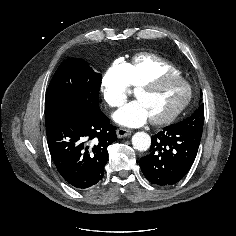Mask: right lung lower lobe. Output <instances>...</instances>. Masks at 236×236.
<instances>
[{
    "mask_svg": "<svg viewBox=\"0 0 236 236\" xmlns=\"http://www.w3.org/2000/svg\"><path fill=\"white\" fill-rule=\"evenodd\" d=\"M52 160L60 175L76 189H89L103 177L107 147L117 140L115 126L97 107L76 110L45 121Z\"/></svg>",
    "mask_w": 236,
    "mask_h": 236,
    "instance_id": "98d812e1",
    "label": "right lung lower lobe"
}]
</instances>
